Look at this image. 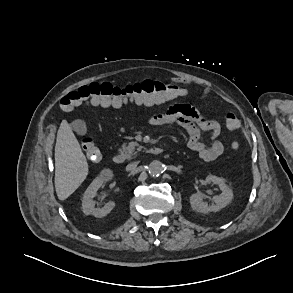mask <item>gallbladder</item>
I'll use <instances>...</instances> for the list:
<instances>
[{
    "label": "gallbladder",
    "instance_id": "gallbladder-1",
    "mask_svg": "<svg viewBox=\"0 0 293 293\" xmlns=\"http://www.w3.org/2000/svg\"><path fill=\"white\" fill-rule=\"evenodd\" d=\"M73 130L78 135H85L87 133V125L84 120L76 119L71 123Z\"/></svg>",
    "mask_w": 293,
    "mask_h": 293
}]
</instances>
